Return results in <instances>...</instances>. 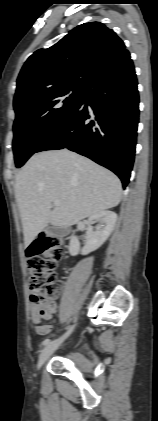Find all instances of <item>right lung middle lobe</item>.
<instances>
[{"label": "right lung middle lobe", "mask_w": 158, "mask_h": 421, "mask_svg": "<svg viewBox=\"0 0 158 421\" xmlns=\"http://www.w3.org/2000/svg\"><path fill=\"white\" fill-rule=\"evenodd\" d=\"M83 90L82 86L52 89L14 104L13 151L16 167H21L71 113Z\"/></svg>", "instance_id": "1"}]
</instances>
